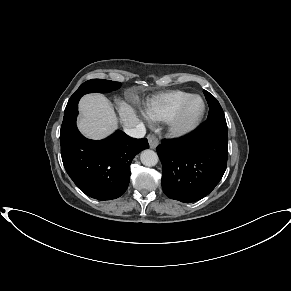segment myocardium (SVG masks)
Instances as JSON below:
<instances>
[{"label":"myocardium","mask_w":291,"mask_h":291,"mask_svg":"<svg viewBox=\"0 0 291 291\" xmlns=\"http://www.w3.org/2000/svg\"><path fill=\"white\" fill-rule=\"evenodd\" d=\"M194 99L202 103L199 114L190 122L184 121L186 110ZM206 112V102L200 95H191L168 120V131L174 137H184L194 132L201 124Z\"/></svg>","instance_id":"obj_1"}]
</instances>
